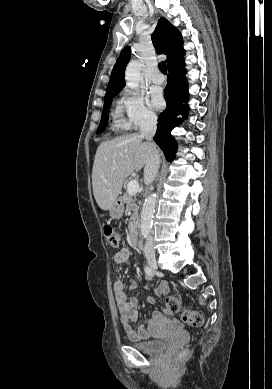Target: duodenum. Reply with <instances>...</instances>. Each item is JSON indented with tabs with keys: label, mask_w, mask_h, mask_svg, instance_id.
<instances>
[{
	"label": "duodenum",
	"mask_w": 272,
	"mask_h": 389,
	"mask_svg": "<svg viewBox=\"0 0 272 389\" xmlns=\"http://www.w3.org/2000/svg\"><path fill=\"white\" fill-rule=\"evenodd\" d=\"M129 238H130L131 243L134 246L139 247L141 245L139 232H138V228L136 225L131 228L130 233H129Z\"/></svg>",
	"instance_id": "duodenum-1"
}]
</instances>
